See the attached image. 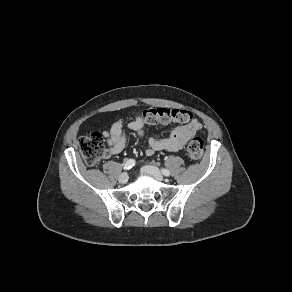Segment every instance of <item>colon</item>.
I'll return each instance as SVG.
<instances>
[{
	"label": "colon",
	"instance_id": "obj_1",
	"mask_svg": "<svg viewBox=\"0 0 292 292\" xmlns=\"http://www.w3.org/2000/svg\"><path fill=\"white\" fill-rule=\"evenodd\" d=\"M143 118L147 123L181 122L185 119V111L178 109H149L143 112ZM78 146L84 161L88 165H94L105 155L102 135L93 132L90 135L80 137ZM187 153L191 160H199L204 153V142L201 137H194L188 144Z\"/></svg>",
	"mask_w": 292,
	"mask_h": 292
}]
</instances>
